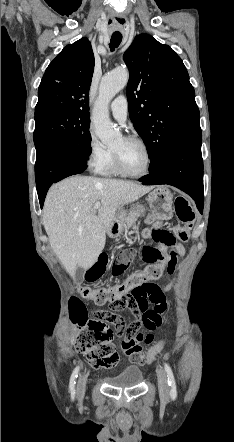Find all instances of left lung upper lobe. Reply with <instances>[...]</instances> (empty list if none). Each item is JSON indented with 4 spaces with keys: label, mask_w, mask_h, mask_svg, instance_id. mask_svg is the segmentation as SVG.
<instances>
[{
    "label": "left lung upper lobe",
    "mask_w": 234,
    "mask_h": 442,
    "mask_svg": "<svg viewBox=\"0 0 234 442\" xmlns=\"http://www.w3.org/2000/svg\"><path fill=\"white\" fill-rule=\"evenodd\" d=\"M124 61L130 72L129 114L146 145L151 171L174 139L200 127L195 92L181 58L148 34L135 37Z\"/></svg>",
    "instance_id": "left-lung-upper-lobe-1"
}]
</instances>
